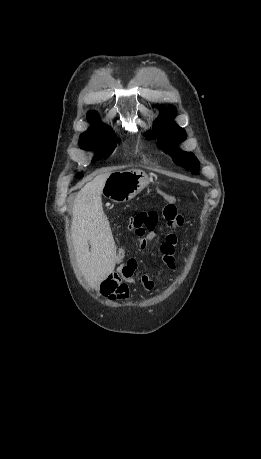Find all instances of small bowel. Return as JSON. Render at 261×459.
<instances>
[{
    "label": "small bowel",
    "mask_w": 261,
    "mask_h": 459,
    "mask_svg": "<svg viewBox=\"0 0 261 459\" xmlns=\"http://www.w3.org/2000/svg\"><path fill=\"white\" fill-rule=\"evenodd\" d=\"M128 228L134 230L132 220ZM137 233V232H136ZM139 236V245L145 250L148 243L156 239V233L148 231L147 233H137ZM177 245V236L175 238L165 237L160 246V257L166 266L170 269L175 267V247ZM137 264L134 259H130L126 264L120 265L117 270L109 274L100 284L101 294L111 301H126L130 296V285L140 283L146 292H151L155 287V279L149 272H143L139 279L134 277Z\"/></svg>",
    "instance_id": "c3829d8e"
}]
</instances>
